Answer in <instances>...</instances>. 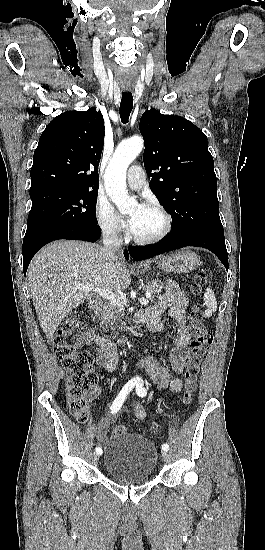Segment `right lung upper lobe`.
<instances>
[{
	"mask_svg": "<svg viewBox=\"0 0 265 550\" xmlns=\"http://www.w3.org/2000/svg\"><path fill=\"white\" fill-rule=\"evenodd\" d=\"M105 127L101 112H64L42 132L33 155L31 189L98 191Z\"/></svg>",
	"mask_w": 265,
	"mask_h": 550,
	"instance_id": "right-lung-upper-lobe-1",
	"label": "right lung upper lobe"
}]
</instances>
